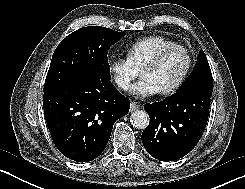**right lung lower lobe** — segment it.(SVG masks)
I'll return each mask as SVG.
<instances>
[{"mask_svg":"<svg viewBox=\"0 0 245 189\" xmlns=\"http://www.w3.org/2000/svg\"><path fill=\"white\" fill-rule=\"evenodd\" d=\"M110 79V73L96 71L44 92L47 127L56 147L67 158L78 162L97 158L108 143L113 124L129 112V100Z\"/></svg>","mask_w":245,"mask_h":189,"instance_id":"right-lung-lower-lobe-1","label":"right lung lower lobe"}]
</instances>
